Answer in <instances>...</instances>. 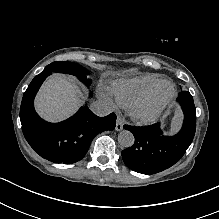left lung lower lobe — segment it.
Masks as SVG:
<instances>
[{
	"label": "left lung lower lobe",
	"instance_id": "obj_1",
	"mask_svg": "<svg viewBox=\"0 0 219 219\" xmlns=\"http://www.w3.org/2000/svg\"><path fill=\"white\" fill-rule=\"evenodd\" d=\"M177 101L184 112V123L174 136L164 135L159 123L144 127L124 126L135 138L134 144L122 151L127 167L138 173L155 174L173 166L185 154L195 135L196 111L189 92H180Z\"/></svg>",
	"mask_w": 219,
	"mask_h": 219
}]
</instances>
